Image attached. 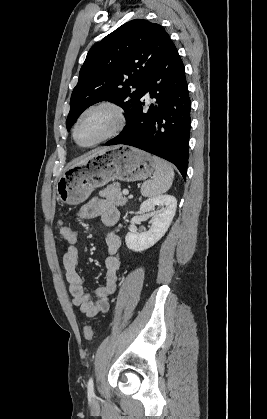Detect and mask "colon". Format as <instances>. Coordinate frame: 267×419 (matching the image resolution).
Instances as JSON below:
<instances>
[{"mask_svg": "<svg viewBox=\"0 0 267 419\" xmlns=\"http://www.w3.org/2000/svg\"><path fill=\"white\" fill-rule=\"evenodd\" d=\"M60 227V235L64 241L67 243H74L76 242V233L73 229H71L69 226H67L63 221H60L59 223ZM83 334L85 339L90 340L93 337L94 330L92 326L87 325L83 329Z\"/></svg>", "mask_w": 267, "mask_h": 419, "instance_id": "1", "label": "colon"}]
</instances>
